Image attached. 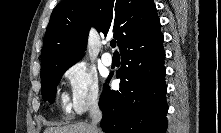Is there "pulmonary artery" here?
Here are the masks:
<instances>
[{
	"mask_svg": "<svg viewBox=\"0 0 221 133\" xmlns=\"http://www.w3.org/2000/svg\"><path fill=\"white\" fill-rule=\"evenodd\" d=\"M101 59L106 66H110L113 63V57L109 52L103 53Z\"/></svg>",
	"mask_w": 221,
	"mask_h": 133,
	"instance_id": "1",
	"label": "pulmonary artery"
}]
</instances>
